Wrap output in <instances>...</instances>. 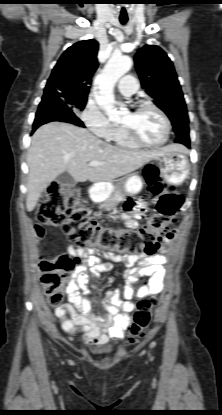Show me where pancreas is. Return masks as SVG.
<instances>
[{"mask_svg":"<svg viewBox=\"0 0 222 415\" xmlns=\"http://www.w3.org/2000/svg\"><path fill=\"white\" fill-rule=\"evenodd\" d=\"M121 182H118L114 188L110 191L108 198L101 204V207L105 210H110L112 208H115L118 203L123 201L124 199V193L121 190Z\"/></svg>","mask_w":222,"mask_h":415,"instance_id":"cf45deb5","label":"pancreas"}]
</instances>
